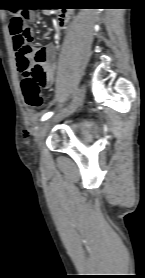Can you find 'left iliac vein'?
<instances>
[{
  "label": "left iliac vein",
  "mask_w": 145,
  "mask_h": 278,
  "mask_svg": "<svg viewBox=\"0 0 145 278\" xmlns=\"http://www.w3.org/2000/svg\"><path fill=\"white\" fill-rule=\"evenodd\" d=\"M84 93H85V89L84 87H81V89L79 90L78 92V95L74 101V103L72 104V106L70 107V109L63 115V116H68L70 115L71 113H73L77 106L80 104V102L82 101L83 97H84ZM62 117V116H61ZM60 119V117H57L55 119H49L47 121H45L37 130H36V133H35V142H36V145H37V148L40 149L41 147V144H42V141L47 133V131L49 130V128L51 127V124Z\"/></svg>",
  "instance_id": "4c4485c4"
}]
</instances>
